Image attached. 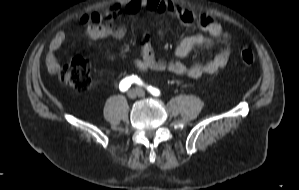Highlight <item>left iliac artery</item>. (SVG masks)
<instances>
[{
  "label": "left iliac artery",
  "mask_w": 299,
  "mask_h": 190,
  "mask_svg": "<svg viewBox=\"0 0 299 190\" xmlns=\"http://www.w3.org/2000/svg\"><path fill=\"white\" fill-rule=\"evenodd\" d=\"M147 90L154 96H158L159 95V90L155 87H152V86H148L147 87Z\"/></svg>",
  "instance_id": "left-iliac-artery-1"
}]
</instances>
